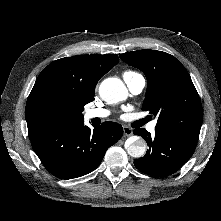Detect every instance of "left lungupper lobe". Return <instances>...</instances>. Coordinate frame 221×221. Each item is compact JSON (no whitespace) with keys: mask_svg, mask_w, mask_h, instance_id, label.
Returning <instances> with one entry per match:
<instances>
[{"mask_svg":"<svg viewBox=\"0 0 221 221\" xmlns=\"http://www.w3.org/2000/svg\"><path fill=\"white\" fill-rule=\"evenodd\" d=\"M147 78L142 109L158 117L155 129L198 141L203 110L197 90L185 67L174 56L149 49L119 55Z\"/></svg>","mask_w":221,"mask_h":221,"instance_id":"obj_1","label":"left lung upper lobe"}]
</instances>
